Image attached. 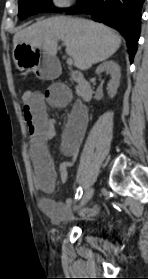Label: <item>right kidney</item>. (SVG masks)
<instances>
[{
  "label": "right kidney",
  "mask_w": 148,
  "mask_h": 279,
  "mask_svg": "<svg viewBox=\"0 0 148 279\" xmlns=\"http://www.w3.org/2000/svg\"><path fill=\"white\" fill-rule=\"evenodd\" d=\"M103 71L111 74V80L108 84V90L110 93V97L113 98L116 95L117 89L120 84V67L115 61H106L97 67L96 74H100Z\"/></svg>",
  "instance_id": "ca27d5eb"
}]
</instances>
